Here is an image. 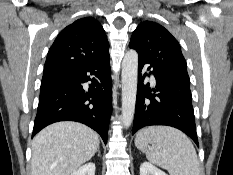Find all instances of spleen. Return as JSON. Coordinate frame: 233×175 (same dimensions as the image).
<instances>
[{
	"label": "spleen",
	"mask_w": 233,
	"mask_h": 175,
	"mask_svg": "<svg viewBox=\"0 0 233 175\" xmlns=\"http://www.w3.org/2000/svg\"><path fill=\"white\" fill-rule=\"evenodd\" d=\"M150 143L155 147H149ZM135 145L151 163L168 170L170 175H200L195 148L180 130L150 126L137 133Z\"/></svg>",
	"instance_id": "obj_1"
}]
</instances>
